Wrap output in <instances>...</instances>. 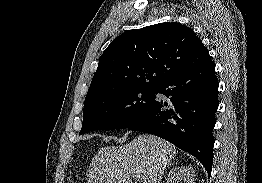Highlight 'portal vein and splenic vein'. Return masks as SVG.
Returning <instances> with one entry per match:
<instances>
[{"label": "portal vein and splenic vein", "mask_w": 262, "mask_h": 183, "mask_svg": "<svg viewBox=\"0 0 262 183\" xmlns=\"http://www.w3.org/2000/svg\"><path fill=\"white\" fill-rule=\"evenodd\" d=\"M133 178H135L136 180H140V176L139 175H134Z\"/></svg>", "instance_id": "18ae733b"}]
</instances>
